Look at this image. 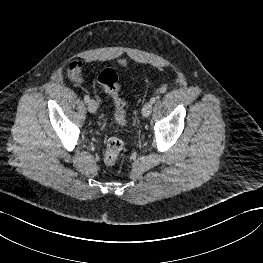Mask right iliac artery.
Segmentation results:
<instances>
[{"instance_id":"right-iliac-artery-1","label":"right iliac artery","mask_w":263,"mask_h":263,"mask_svg":"<svg viewBox=\"0 0 263 263\" xmlns=\"http://www.w3.org/2000/svg\"><path fill=\"white\" fill-rule=\"evenodd\" d=\"M84 100H85L86 103H88V102L90 101L89 96H88V95H85V96H84Z\"/></svg>"}]
</instances>
